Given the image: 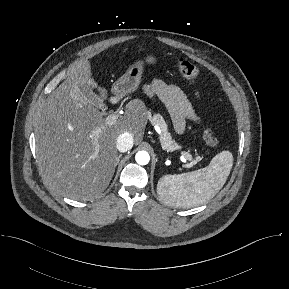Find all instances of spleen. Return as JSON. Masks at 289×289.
<instances>
[{"label": "spleen", "mask_w": 289, "mask_h": 289, "mask_svg": "<svg viewBox=\"0 0 289 289\" xmlns=\"http://www.w3.org/2000/svg\"><path fill=\"white\" fill-rule=\"evenodd\" d=\"M233 166V155L224 150L209 166L188 173L165 175L157 184V194L166 204L191 208L212 199L225 184Z\"/></svg>", "instance_id": "spleen-1"}]
</instances>
